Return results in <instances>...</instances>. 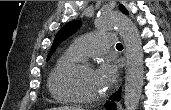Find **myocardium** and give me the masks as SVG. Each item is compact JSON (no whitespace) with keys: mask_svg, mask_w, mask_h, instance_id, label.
Here are the masks:
<instances>
[{"mask_svg":"<svg viewBox=\"0 0 171 110\" xmlns=\"http://www.w3.org/2000/svg\"><path fill=\"white\" fill-rule=\"evenodd\" d=\"M86 68L93 69L89 62L84 60L78 61L68 66L61 75V84L64 90L77 102L84 104H94L106 98L107 92L95 97L84 96L76 87L75 78L77 74Z\"/></svg>","mask_w":171,"mask_h":110,"instance_id":"f54148a6","label":"myocardium"}]
</instances>
